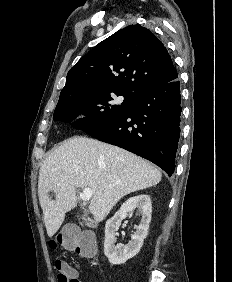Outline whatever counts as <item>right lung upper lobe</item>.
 I'll list each match as a JSON object with an SVG mask.
<instances>
[{
  "label": "right lung upper lobe",
  "mask_w": 232,
  "mask_h": 282,
  "mask_svg": "<svg viewBox=\"0 0 232 282\" xmlns=\"http://www.w3.org/2000/svg\"><path fill=\"white\" fill-rule=\"evenodd\" d=\"M178 77L163 43L147 28L127 26L100 42L72 67L59 101L77 95L144 88Z\"/></svg>",
  "instance_id": "1"
}]
</instances>
